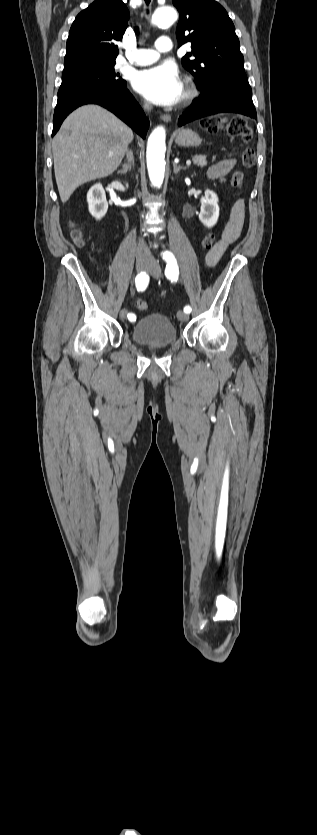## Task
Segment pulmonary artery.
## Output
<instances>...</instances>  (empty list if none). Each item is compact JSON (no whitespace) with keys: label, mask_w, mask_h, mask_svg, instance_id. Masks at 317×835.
<instances>
[{"label":"pulmonary artery","mask_w":317,"mask_h":835,"mask_svg":"<svg viewBox=\"0 0 317 835\" xmlns=\"http://www.w3.org/2000/svg\"><path fill=\"white\" fill-rule=\"evenodd\" d=\"M172 47L171 39L168 36H161L155 42V49H136L133 63L138 66L149 65L159 58L160 53L168 52Z\"/></svg>","instance_id":"pulmonary-artery-1"}]
</instances>
